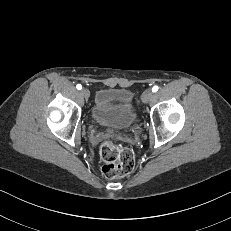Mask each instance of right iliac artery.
Here are the masks:
<instances>
[{"instance_id":"right-iliac-artery-1","label":"right iliac artery","mask_w":231,"mask_h":231,"mask_svg":"<svg viewBox=\"0 0 231 231\" xmlns=\"http://www.w3.org/2000/svg\"><path fill=\"white\" fill-rule=\"evenodd\" d=\"M76 88H77L78 90H80V89H82V86H81L80 84H78V85L76 86Z\"/></svg>"}]
</instances>
